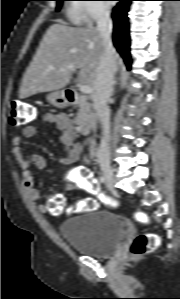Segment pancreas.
<instances>
[{
    "instance_id": "obj_1",
    "label": "pancreas",
    "mask_w": 180,
    "mask_h": 299,
    "mask_svg": "<svg viewBox=\"0 0 180 299\" xmlns=\"http://www.w3.org/2000/svg\"><path fill=\"white\" fill-rule=\"evenodd\" d=\"M93 120V112L91 110L90 104L79 105V110L77 117L75 118V123L77 125L88 124Z\"/></svg>"
}]
</instances>
